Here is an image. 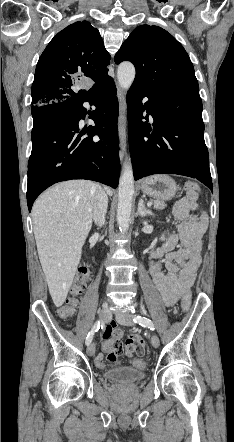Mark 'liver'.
Wrapping results in <instances>:
<instances>
[{"mask_svg": "<svg viewBox=\"0 0 234 442\" xmlns=\"http://www.w3.org/2000/svg\"><path fill=\"white\" fill-rule=\"evenodd\" d=\"M92 186L87 180L59 183L40 195L32 208L37 251L56 307L66 300L92 227ZM105 190L112 195L110 188Z\"/></svg>", "mask_w": 234, "mask_h": 442, "instance_id": "1", "label": "liver"}]
</instances>
